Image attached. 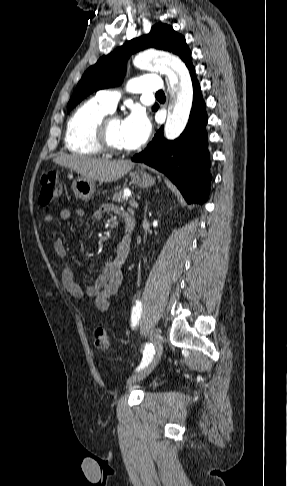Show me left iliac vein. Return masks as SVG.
Listing matches in <instances>:
<instances>
[{"instance_id": "1", "label": "left iliac vein", "mask_w": 287, "mask_h": 486, "mask_svg": "<svg viewBox=\"0 0 287 486\" xmlns=\"http://www.w3.org/2000/svg\"><path fill=\"white\" fill-rule=\"evenodd\" d=\"M152 342H153V345H154V348H155V355L153 357L151 364L147 368L142 370L141 372L131 376L127 381L128 385L140 382L141 380L146 378L153 371V369L156 367V365L158 364V362L161 358V355H162V350H163L161 336L159 334H157L152 339Z\"/></svg>"}]
</instances>
